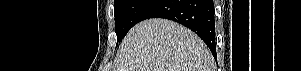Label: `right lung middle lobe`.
<instances>
[{
	"label": "right lung middle lobe",
	"instance_id": "right-lung-middle-lobe-1",
	"mask_svg": "<svg viewBox=\"0 0 301 71\" xmlns=\"http://www.w3.org/2000/svg\"><path fill=\"white\" fill-rule=\"evenodd\" d=\"M155 0H115V32L117 44L127 32L138 22L141 15Z\"/></svg>",
	"mask_w": 301,
	"mask_h": 71
}]
</instances>
